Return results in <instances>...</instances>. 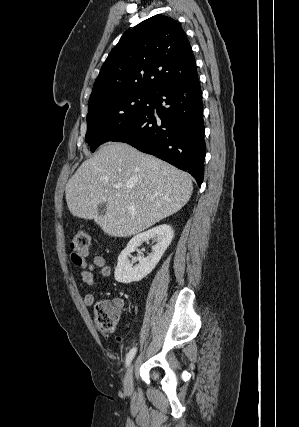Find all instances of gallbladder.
<instances>
[{"instance_id": "gallbladder-1", "label": "gallbladder", "mask_w": 299, "mask_h": 427, "mask_svg": "<svg viewBox=\"0 0 299 427\" xmlns=\"http://www.w3.org/2000/svg\"><path fill=\"white\" fill-rule=\"evenodd\" d=\"M107 212V205L105 203H100L98 205V213L104 215Z\"/></svg>"}]
</instances>
